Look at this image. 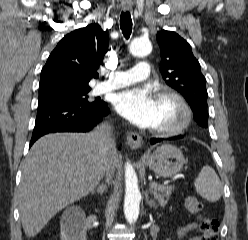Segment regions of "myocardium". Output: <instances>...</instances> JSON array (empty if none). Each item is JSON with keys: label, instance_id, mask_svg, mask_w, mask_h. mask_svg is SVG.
Wrapping results in <instances>:
<instances>
[{"label": "myocardium", "instance_id": "1", "mask_svg": "<svg viewBox=\"0 0 248 240\" xmlns=\"http://www.w3.org/2000/svg\"><path fill=\"white\" fill-rule=\"evenodd\" d=\"M158 98L173 100L179 107L180 116L174 124L162 128H155L153 132L160 136H173L183 132L192 120V111L186 99L180 93L172 89L159 91Z\"/></svg>", "mask_w": 248, "mask_h": 240}]
</instances>
